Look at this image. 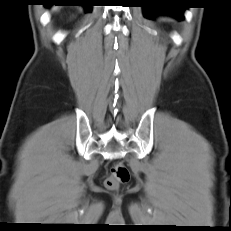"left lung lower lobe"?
I'll use <instances>...</instances> for the list:
<instances>
[{
	"label": "left lung lower lobe",
	"instance_id": "0a47b994",
	"mask_svg": "<svg viewBox=\"0 0 231 231\" xmlns=\"http://www.w3.org/2000/svg\"><path fill=\"white\" fill-rule=\"evenodd\" d=\"M141 3L146 18H153L158 14H168L179 20L183 19L185 6L180 5V0H142Z\"/></svg>",
	"mask_w": 231,
	"mask_h": 231
}]
</instances>
